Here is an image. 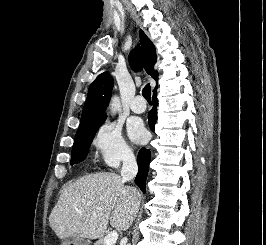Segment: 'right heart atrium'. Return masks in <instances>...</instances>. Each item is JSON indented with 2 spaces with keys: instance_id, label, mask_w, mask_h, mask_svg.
I'll use <instances>...</instances> for the list:
<instances>
[{
  "instance_id": "right-heart-atrium-1",
  "label": "right heart atrium",
  "mask_w": 266,
  "mask_h": 245,
  "mask_svg": "<svg viewBox=\"0 0 266 245\" xmlns=\"http://www.w3.org/2000/svg\"><path fill=\"white\" fill-rule=\"evenodd\" d=\"M98 161L109 169L117 168L121 163L134 159V153L122 133V128L107 121L100 125L92 138Z\"/></svg>"
}]
</instances>
